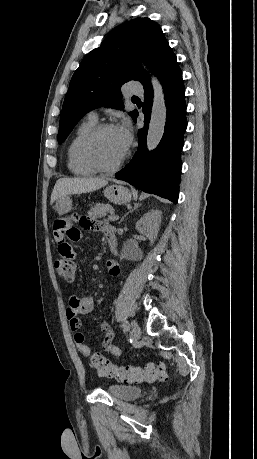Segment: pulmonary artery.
I'll return each mask as SVG.
<instances>
[{"label":"pulmonary artery","instance_id":"obj_1","mask_svg":"<svg viewBox=\"0 0 257 459\" xmlns=\"http://www.w3.org/2000/svg\"><path fill=\"white\" fill-rule=\"evenodd\" d=\"M129 91L132 94H141L142 93V89L141 88H136V87H131ZM89 117L96 119L97 118V113L95 111L90 112L89 113Z\"/></svg>","mask_w":257,"mask_h":459}]
</instances>
